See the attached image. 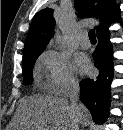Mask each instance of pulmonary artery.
<instances>
[{"mask_svg":"<svg viewBox=\"0 0 123 130\" xmlns=\"http://www.w3.org/2000/svg\"><path fill=\"white\" fill-rule=\"evenodd\" d=\"M79 45L83 49H88L90 47V41H89V39L87 37V34L83 33L79 37Z\"/></svg>","mask_w":123,"mask_h":130,"instance_id":"1","label":"pulmonary artery"}]
</instances>
